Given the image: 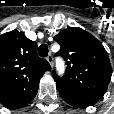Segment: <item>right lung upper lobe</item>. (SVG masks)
Segmentation results:
<instances>
[{
  "label": "right lung upper lobe",
  "instance_id": "right-lung-upper-lobe-1",
  "mask_svg": "<svg viewBox=\"0 0 114 114\" xmlns=\"http://www.w3.org/2000/svg\"><path fill=\"white\" fill-rule=\"evenodd\" d=\"M51 69L37 55V43L13 30L0 35V103L13 109L33 99L39 81Z\"/></svg>",
  "mask_w": 114,
  "mask_h": 114
}]
</instances>
